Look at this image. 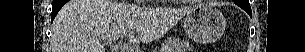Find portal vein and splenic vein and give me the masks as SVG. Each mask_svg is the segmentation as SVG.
<instances>
[{
  "instance_id": "1",
  "label": "portal vein and splenic vein",
  "mask_w": 305,
  "mask_h": 52,
  "mask_svg": "<svg viewBox=\"0 0 305 52\" xmlns=\"http://www.w3.org/2000/svg\"><path fill=\"white\" fill-rule=\"evenodd\" d=\"M105 42L111 44L114 41L106 40ZM112 49L115 52H137L134 48L128 47L126 45H122V43H117V44L115 43V44H113L112 45Z\"/></svg>"
}]
</instances>
